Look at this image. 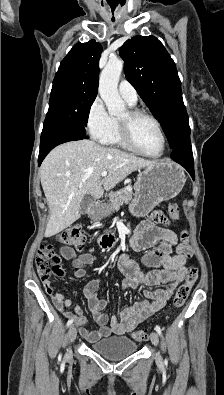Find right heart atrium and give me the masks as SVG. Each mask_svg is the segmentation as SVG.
I'll list each match as a JSON object with an SVG mask.
<instances>
[{
  "label": "right heart atrium",
  "mask_w": 224,
  "mask_h": 395,
  "mask_svg": "<svg viewBox=\"0 0 224 395\" xmlns=\"http://www.w3.org/2000/svg\"><path fill=\"white\" fill-rule=\"evenodd\" d=\"M86 124L90 135L95 140L103 139L112 129L113 117L109 115L100 97H96L90 104Z\"/></svg>",
  "instance_id": "1"
}]
</instances>
